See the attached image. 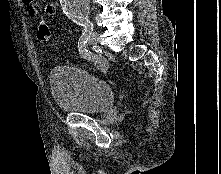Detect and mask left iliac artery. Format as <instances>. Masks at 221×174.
<instances>
[{"label": "left iliac artery", "mask_w": 221, "mask_h": 174, "mask_svg": "<svg viewBox=\"0 0 221 174\" xmlns=\"http://www.w3.org/2000/svg\"><path fill=\"white\" fill-rule=\"evenodd\" d=\"M79 25L83 26L84 28L83 33L78 42V50H79L80 55L83 58L98 64L101 71L106 72L109 68L108 61L106 60V58H104L103 56L97 53L88 51L86 49L88 38L93 32L92 22L87 18H83L79 21Z\"/></svg>", "instance_id": "1"}]
</instances>
